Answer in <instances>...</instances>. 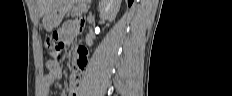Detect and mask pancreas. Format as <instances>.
<instances>
[{
  "label": "pancreas",
  "mask_w": 232,
  "mask_h": 96,
  "mask_svg": "<svg viewBox=\"0 0 232 96\" xmlns=\"http://www.w3.org/2000/svg\"><path fill=\"white\" fill-rule=\"evenodd\" d=\"M87 6L85 5L84 2L79 3L76 6H73L72 9L70 10V12L68 13V16H76L79 15L82 12H86L87 11Z\"/></svg>",
  "instance_id": "cf45deb5"
}]
</instances>
